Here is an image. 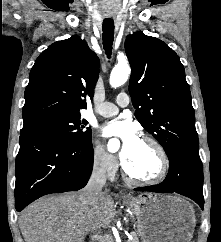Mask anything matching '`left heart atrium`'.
I'll return each mask as SVG.
<instances>
[{"label": "left heart atrium", "instance_id": "obj_1", "mask_svg": "<svg viewBox=\"0 0 221 242\" xmlns=\"http://www.w3.org/2000/svg\"><path fill=\"white\" fill-rule=\"evenodd\" d=\"M105 138H115L120 142V157L125 161L141 141L134 124L126 120H114L101 129Z\"/></svg>", "mask_w": 221, "mask_h": 242}]
</instances>
